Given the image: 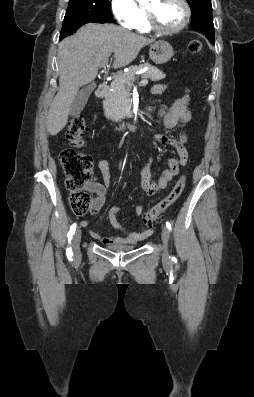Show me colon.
<instances>
[{
    "mask_svg": "<svg viewBox=\"0 0 254 397\" xmlns=\"http://www.w3.org/2000/svg\"><path fill=\"white\" fill-rule=\"evenodd\" d=\"M188 49L190 53L199 55L203 51V44L199 40H193L189 43ZM86 130L85 118L81 115L76 116L68 125L67 140L75 148L82 147L83 135ZM60 163L64 170L66 187L70 192L69 202L72 212L78 216L84 215L90 210L93 203L86 189L92 177V158L73 148H68L61 152ZM184 186L185 177L181 176L171 192L144 214V221L148 224L157 221L163 212L180 197Z\"/></svg>",
    "mask_w": 254,
    "mask_h": 397,
    "instance_id": "colon-1",
    "label": "colon"
}]
</instances>
